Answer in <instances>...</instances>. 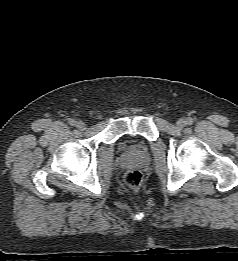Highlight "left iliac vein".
<instances>
[{
    "label": "left iliac vein",
    "mask_w": 238,
    "mask_h": 261,
    "mask_svg": "<svg viewBox=\"0 0 238 261\" xmlns=\"http://www.w3.org/2000/svg\"><path fill=\"white\" fill-rule=\"evenodd\" d=\"M186 124V121L184 119H179L176 123L177 128L182 129Z\"/></svg>",
    "instance_id": "1"
}]
</instances>
